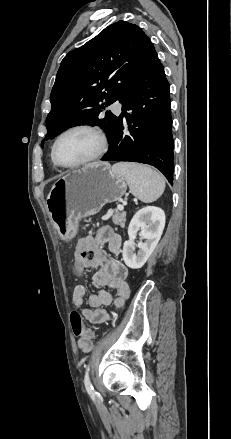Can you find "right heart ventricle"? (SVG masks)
Masks as SVG:
<instances>
[{"mask_svg": "<svg viewBox=\"0 0 231 439\" xmlns=\"http://www.w3.org/2000/svg\"><path fill=\"white\" fill-rule=\"evenodd\" d=\"M51 162H52V166L54 168H57L58 166L56 165V163L54 162L53 158H52V154H51Z\"/></svg>", "mask_w": 231, "mask_h": 439, "instance_id": "e07e8e85", "label": "right heart ventricle"}]
</instances>
